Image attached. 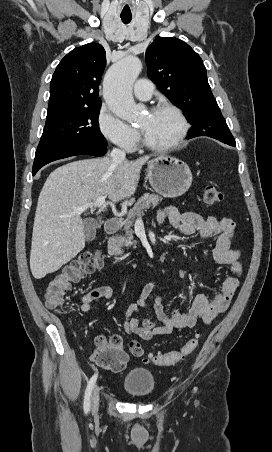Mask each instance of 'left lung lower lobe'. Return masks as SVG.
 I'll list each match as a JSON object with an SVG mask.
<instances>
[{"mask_svg":"<svg viewBox=\"0 0 272 452\" xmlns=\"http://www.w3.org/2000/svg\"><path fill=\"white\" fill-rule=\"evenodd\" d=\"M197 136H199V135H198V134H192V133H189V135L187 136V138H192V137H197ZM217 140H220L221 142H224V143L229 144V145H232V146H235V145H236L235 140H228V139H226V138H220V139H217Z\"/></svg>","mask_w":272,"mask_h":452,"instance_id":"1","label":"left lung lower lobe"}]
</instances>
